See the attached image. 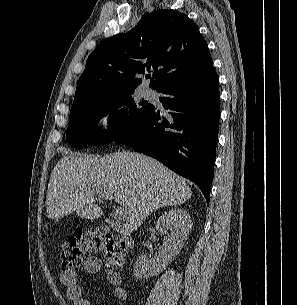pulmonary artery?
I'll list each match as a JSON object with an SVG mask.
<instances>
[{"mask_svg":"<svg viewBox=\"0 0 297 305\" xmlns=\"http://www.w3.org/2000/svg\"><path fill=\"white\" fill-rule=\"evenodd\" d=\"M145 95H147V96L151 95V90L150 89H146L145 90Z\"/></svg>","mask_w":297,"mask_h":305,"instance_id":"1","label":"pulmonary artery"}]
</instances>
